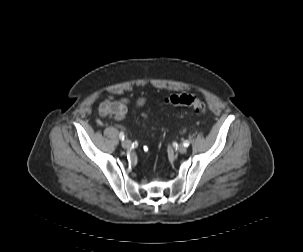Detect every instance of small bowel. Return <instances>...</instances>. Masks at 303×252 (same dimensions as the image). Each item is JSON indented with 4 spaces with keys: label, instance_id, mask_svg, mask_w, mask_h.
I'll list each match as a JSON object with an SVG mask.
<instances>
[{
    "label": "small bowel",
    "instance_id": "small-bowel-1",
    "mask_svg": "<svg viewBox=\"0 0 303 252\" xmlns=\"http://www.w3.org/2000/svg\"><path fill=\"white\" fill-rule=\"evenodd\" d=\"M146 99L144 97H138L133 107H131V101L127 98L116 100L112 97L103 99L99 105V112L103 116L111 115L118 120H121L129 114L131 111H135L144 107Z\"/></svg>",
    "mask_w": 303,
    "mask_h": 252
}]
</instances>
